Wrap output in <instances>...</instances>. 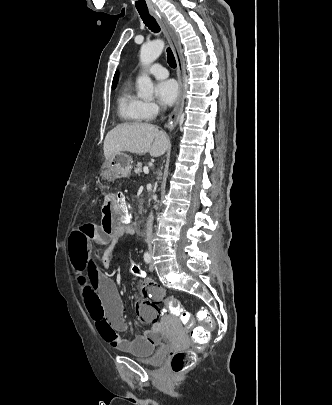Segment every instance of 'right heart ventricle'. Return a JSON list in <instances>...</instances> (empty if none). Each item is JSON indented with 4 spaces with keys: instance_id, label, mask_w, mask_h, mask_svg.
I'll return each mask as SVG.
<instances>
[{
    "instance_id": "e07e8e85",
    "label": "right heart ventricle",
    "mask_w": 332,
    "mask_h": 405,
    "mask_svg": "<svg viewBox=\"0 0 332 405\" xmlns=\"http://www.w3.org/2000/svg\"><path fill=\"white\" fill-rule=\"evenodd\" d=\"M117 111L121 120L126 123H141L147 119L144 102L133 93L129 83L123 86L118 95Z\"/></svg>"
}]
</instances>
